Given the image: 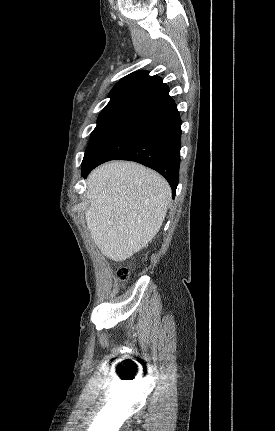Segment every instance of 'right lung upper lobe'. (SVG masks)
<instances>
[{"mask_svg":"<svg viewBox=\"0 0 275 431\" xmlns=\"http://www.w3.org/2000/svg\"><path fill=\"white\" fill-rule=\"evenodd\" d=\"M169 88L160 77L149 76L147 71H137L120 80L111 90L109 103L101 113L133 111L165 96Z\"/></svg>","mask_w":275,"mask_h":431,"instance_id":"obj_1","label":"right lung upper lobe"}]
</instances>
